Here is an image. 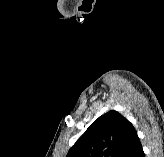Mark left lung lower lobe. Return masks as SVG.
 Returning <instances> with one entry per match:
<instances>
[{"label": "left lung lower lobe", "instance_id": "obj_1", "mask_svg": "<svg viewBox=\"0 0 164 157\" xmlns=\"http://www.w3.org/2000/svg\"><path fill=\"white\" fill-rule=\"evenodd\" d=\"M121 157H145L137 133L131 138Z\"/></svg>", "mask_w": 164, "mask_h": 157}]
</instances>
